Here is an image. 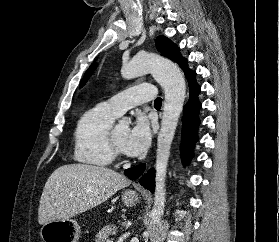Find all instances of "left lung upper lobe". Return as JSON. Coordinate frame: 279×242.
Listing matches in <instances>:
<instances>
[{"label": "left lung upper lobe", "mask_w": 279, "mask_h": 242, "mask_svg": "<svg viewBox=\"0 0 279 242\" xmlns=\"http://www.w3.org/2000/svg\"><path fill=\"white\" fill-rule=\"evenodd\" d=\"M156 47L157 50L163 54L164 56H166L167 58L175 61L176 63H178L180 66L181 64L184 62V58L181 57L180 52L178 47L172 43L168 38L164 37V36H159L156 39ZM94 70V65H92L86 72L84 79L81 83V87L85 84V82L87 81V79L90 77V75L92 74Z\"/></svg>", "instance_id": "1"}]
</instances>
